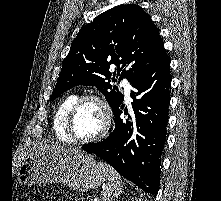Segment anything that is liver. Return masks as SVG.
I'll use <instances>...</instances> for the list:
<instances>
[{
  "mask_svg": "<svg viewBox=\"0 0 221 201\" xmlns=\"http://www.w3.org/2000/svg\"><path fill=\"white\" fill-rule=\"evenodd\" d=\"M41 150H51V151H56V152H74V151H77L76 149H71V148H67V147H64L60 144H54V145H44V146H41L40 148Z\"/></svg>",
  "mask_w": 221,
  "mask_h": 201,
  "instance_id": "liver-1",
  "label": "liver"
}]
</instances>
